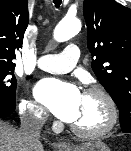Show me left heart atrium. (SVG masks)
I'll return each mask as SVG.
<instances>
[{"label":"left heart atrium","instance_id":"39dd6f15","mask_svg":"<svg viewBox=\"0 0 131 151\" xmlns=\"http://www.w3.org/2000/svg\"><path fill=\"white\" fill-rule=\"evenodd\" d=\"M34 94L59 119L72 123L77 118L83 95L75 85L43 79L36 84Z\"/></svg>","mask_w":131,"mask_h":151}]
</instances>
